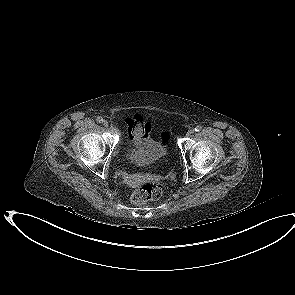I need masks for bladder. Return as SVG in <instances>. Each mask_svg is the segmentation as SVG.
Wrapping results in <instances>:
<instances>
[{"label":"bladder","instance_id":"obj_1","mask_svg":"<svg viewBox=\"0 0 295 295\" xmlns=\"http://www.w3.org/2000/svg\"><path fill=\"white\" fill-rule=\"evenodd\" d=\"M165 153L164 143L149 138L140 147L129 152L126 158L137 165H149L161 159Z\"/></svg>","mask_w":295,"mask_h":295}]
</instances>
